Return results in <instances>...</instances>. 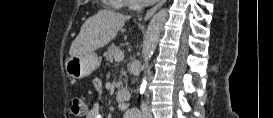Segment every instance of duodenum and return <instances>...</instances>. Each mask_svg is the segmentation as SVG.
Segmentation results:
<instances>
[{"label": "duodenum", "mask_w": 273, "mask_h": 118, "mask_svg": "<svg viewBox=\"0 0 273 118\" xmlns=\"http://www.w3.org/2000/svg\"><path fill=\"white\" fill-rule=\"evenodd\" d=\"M116 98L119 102H126L130 100L131 94L127 89H119L116 93Z\"/></svg>", "instance_id": "obj_1"}]
</instances>
